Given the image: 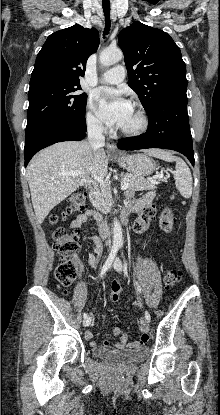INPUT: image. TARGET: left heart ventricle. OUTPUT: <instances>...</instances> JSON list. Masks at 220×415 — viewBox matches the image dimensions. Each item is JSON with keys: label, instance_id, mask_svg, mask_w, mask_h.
I'll list each match as a JSON object with an SVG mask.
<instances>
[{"label": "left heart ventricle", "instance_id": "obj_1", "mask_svg": "<svg viewBox=\"0 0 220 415\" xmlns=\"http://www.w3.org/2000/svg\"><path fill=\"white\" fill-rule=\"evenodd\" d=\"M139 123V118L135 110L132 108L128 118L125 122L121 125L124 128H133L136 127Z\"/></svg>", "mask_w": 220, "mask_h": 415}]
</instances>
